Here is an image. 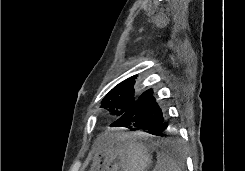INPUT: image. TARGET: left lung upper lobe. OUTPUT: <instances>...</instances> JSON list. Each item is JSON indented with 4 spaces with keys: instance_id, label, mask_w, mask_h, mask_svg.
Segmentation results:
<instances>
[{
    "instance_id": "5c2ea615",
    "label": "left lung upper lobe",
    "mask_w": 245,
    "mask_h": 171,
    "mask_svg": "<svg viewBox=\"0 0 245 171\" xmlns=\"http://www.w3.org/2000/svg\"><path fill=\"white\" fill-rule=\"evenodd\" d=\"M135 79L136 76H132L115 86L104 98L101 107L109 109L114 115L122 116L137 100L133 89Z\"/></svg>"
}]
</instances>
